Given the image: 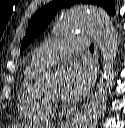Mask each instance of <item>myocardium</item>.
Returning a JSON list of instances; mask_svg holds the SVG:
<instances>
[{
  "mask_svg": "<svg viewBox=\"0 0 125 128\" xmlns=\"http://www.w3.org/2000/svg\"><path fill=\"white\" fill-rule=\"evenodd\" d=\"M46 97L49 99V100H53L54 99V96L53 95H49V94H45Z\"/></svg>",
  "mask_w": 125,
  "mask_h": 128,
  "instance_id": "myocardium-1",
  "label": "myocardium"
}]
</instances>
